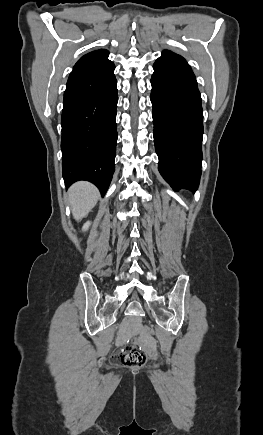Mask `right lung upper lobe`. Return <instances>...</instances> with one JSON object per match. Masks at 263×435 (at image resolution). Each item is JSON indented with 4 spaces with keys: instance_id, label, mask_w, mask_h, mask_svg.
<instances>
[{
    "instance_id": "obj_1",
    "label": "right lung upper lobe",
    "mask_w": 263,
    "mask_h": 435,
    "mask_svg": "<svg viewBox=\"0 0 263 435\" xmlns=\"http://www.w3.org/2000/svg\"><path fill=\"white\" fill-rule=\"evenodd\" d=\"M108 54L109 52L107 50L102 49L90 52L82 56L75 64L70 76L88 70L100 68L111 63V61L108 60Z\"/></svg>"
}]
</instances>
